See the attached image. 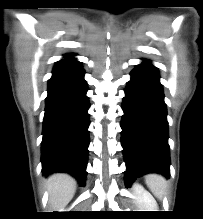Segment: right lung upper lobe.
<instances>
[{
    "mask_svg": "<svg viewBox=\"0 0 203 219\" xmlns=\"http://www.w3.org/2000/svg\"><path fill=\"white\" fill-rule=\"evenodd\" d=\"M73 54H66L65 56H72Z\"/></svg>",
    "mask_w": 203,
    "mask_h": 219,
    "instance_id": "cb5924a9",
    "label": "right lung upper lobe"
}]
</instances>
